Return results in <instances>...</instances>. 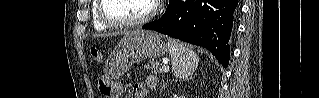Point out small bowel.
I'll use <instances>...</instances> for the list:
<instances>
[{
    "mask_svg": "<svg viewBox=\"0 0 319 98\" xmlns=\"http://www.w3.org/2000/svg\"><path fill=\"white\" fill-rule=\"evenodd\" d=\"M156 85V77L148 76L145 83H137L134 85L135 98H146L148 91Z\"/></svg>",
    "mask_w": 319,
    "mask_h": 98,
    "instance_id": "obj_1",
    "label": "small bowel"
}]
</instances>
